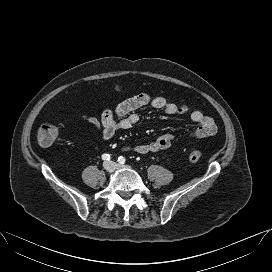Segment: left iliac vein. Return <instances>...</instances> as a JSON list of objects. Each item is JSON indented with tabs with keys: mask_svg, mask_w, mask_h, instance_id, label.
I'll return each mask as SVG.
<instances>
[{
	"mask_svg": "<svg viewBox=\"0 0 272 272\" xmlns=\"http://www.w3.org/2000/svg\"><path fill=\"white\" fill-rule=\"evenodd\" d=\"M110 163L113 165L114 169L130 168V167H128V166L120 165V164H117V163H115V162H110Z\"/></svg>",
	"mask_w": 272,
	"mask_h": 272,
	"instance_id": "obj_1",
	"label": "left iliac vein"
}]
</instances>
